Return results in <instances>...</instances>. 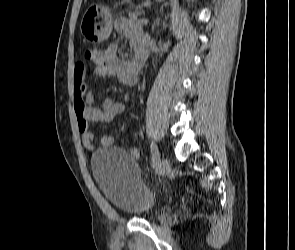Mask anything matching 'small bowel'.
Instances as JSON below:
<instances>
[{
	"label": "small bowel",
	"instance_id": "1",
	"mask_svg": "<svg viewBox=\"0 0 295 250\" xmlns=\"http://www.w3.org/2000/svg\"><path fill=\"white\" fill-rule=\"evenodd\" d=\"M116 30L130 40V44L135 50L134 57L130 61L121 60L117 55L115 44H110L105 49H93L90 58L96 64L93 75L115 77L124 85L134 86L138 82L141 69L137 63V55L140 51H145L146 39L126 19L117 21ZM74 110L82 144L86 149L92 151L96 149V138L90 130L89 124L91 122L112 121L123 112L124 105L117 100L105 98L101 106H97L86 83V66L83 62H78L74 69ZM113 141V137L110 135H103L98 139L102 146H110ZM131 155L134 158L139 157L136 150H132Z\"/></svg>",
	"mask_w": 295,
	"mask_h": 250
}]
</instances>
